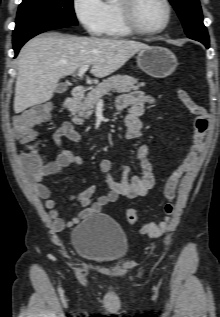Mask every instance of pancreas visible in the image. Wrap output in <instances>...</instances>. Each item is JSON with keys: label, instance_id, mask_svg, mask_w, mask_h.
I'll return each mask as SVG.
<instances>
[{"label": "pancreas", "instance_id": "1", "mask_svg": "<svg viewBox=\"0 0 220 317\" xmlns=\"http://www.w3.org/2000/svg\"><path fill=\"white\" fill-rule=\"evenodd\" d=\"M142 86H145V84L138 83V79L128 75L117 74L105 79L92 89L85 99L75 107L73 113L74 122L81 124L83 117L86 118L92 115L93 108L99 99L107 95L110 91H116L118 93L129 92L131 90H137Z\"/></svg>", "mask_w": 220, "mask_h": 317}]
</instances>
